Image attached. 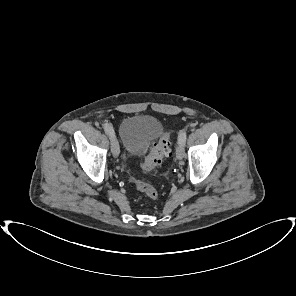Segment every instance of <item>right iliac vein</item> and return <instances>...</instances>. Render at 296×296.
Segmentation results:
<instances>
[{"label":"right iliac vein","mask_w":296,"mask_h":296,"mask_svg":"<svg viewBox=\"0 0 296 296\" xmlns=\"http://www.w3.org/2000/svg\"><path fill=\"white\" fill-rule=\"evenodd\" d=\"M111 141V151L114 157H118L120 153L119 143L115 137V135L110 136Z\"/></svg>","instance_id":"63e3f726"}]
</instances>
